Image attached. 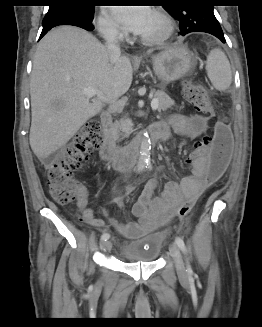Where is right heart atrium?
<instances>
[{
  "label": "right heart atrium",
  "instance_id": "obj_1",
  "mask_svg": "<svg viewBox=\"0 0 262 327\" xmlns=\"http://www.w3.org/2000/svg\"><path fill=\"white\" fill-rule=\"evenodd\" d=\"M95 27L105 40L120 41L124 38L122 30L114 23L109 14L102 10L95 18Z\"/></svg>",
  "mask_w": 262,
  "mask_h": 327
}]
</instances>
